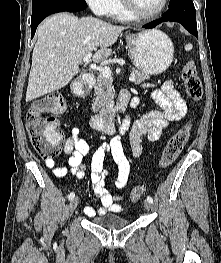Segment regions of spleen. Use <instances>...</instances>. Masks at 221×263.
I'll list each match as a JSON object with an SVG mask.
<instances>
[{
	"mask_svg": "<svg viewBox=\"0 0 221 263\" xmlns=\"http://www.w3.org/2000/svg\"><path fill=\"white\" fill-rule=\"evenodd\" d=\"M193 48L192 44L188 43L185 45V50L190 51Z\"/></svg>",
	"mask_w": 221,
	"mask_h": 263,
	"instance_id": "obj_1",
	"label": "spleen"
}]
</instances>
